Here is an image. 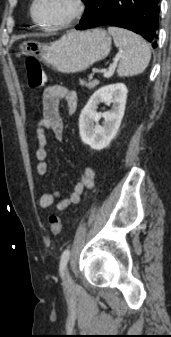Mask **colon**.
Listing matches in <instances>:
<instances>
[{"label":"colon","instance_id":"5ec220e1","mask_svg":"<svg viewBox=\"0 0 171 337\" xmlns=\"http://www.w3.org/2000/svg\"><path fill=\"white\" fill-rule=\"evenodd\" d=\"M25 68L28 76V84L33 89L41 88L45 83V72L40 61L36 58H28L25 61ZM49 229L57 235L62 230V219L58 215H52L49 218Z\"/></svg>","mask_w":171,"mask_h":337}]
</instances>
